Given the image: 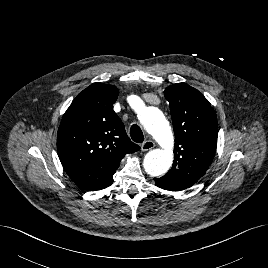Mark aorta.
Returning a JSON list of instances; mask_svg holds the SVG:
<instances>
[{"label":"aorta","instance_id":"aorta-1","mask_svg":"<svg viewBox=\"0 0 268 268\" xmlns=\"http://www.w3.org/2000/svg\"><path fill=\"white\" fill-rule=\"evenodd\" d=\"M140 123L163 149H153L144 158L143 166L147 174L161 176L173 163L174 138L163 113L155 107H146L138 115Z\"/></svg>","mask_w":268,"mask_h":268}]
</instances>
